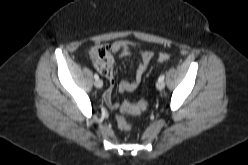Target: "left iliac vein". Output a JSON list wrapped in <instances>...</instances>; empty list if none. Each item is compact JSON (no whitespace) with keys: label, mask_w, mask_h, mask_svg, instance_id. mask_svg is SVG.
Here are the masks:
<instances>
[{"label":"left iliac vein","mask_w":248,"mask_h":165,"mask_svg":"<svg viewBox=\"0 0 248 165\" xmlns=\"http://www.w3.org/2000/svg\"><path fill=\"white\" fill-rule=\"evenodd\" d=\"M156 87H157L158 90L164 89L165 82L163 80L162 81H158L157 84H156Z\"/></svg>","instance_id":"4c4485c4"}]
</instances>
